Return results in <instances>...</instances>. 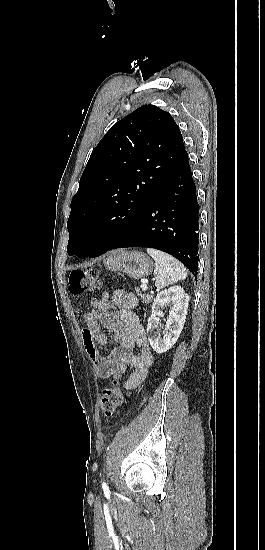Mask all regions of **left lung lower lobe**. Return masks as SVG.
<instances>
[{
	"label": "left lung lower lobe",
	"instance_id": "0a47b994",
	"mask_svg": "<svg viewBox=\"0 0 265 550\" xmlns=\"http://www.w3.org/2000/svg\"><path fill=\"white\" fill-rule=\"evenodd\" d=\"M198 219L196 188L186 154L135 223L94 257L122 247L155 248L197 275Z\"/></svg>",
	"mask_w": 265,
	"mask_h": 550
}]
</instances>
